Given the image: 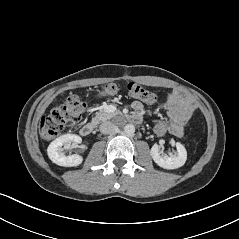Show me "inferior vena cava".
<instances>
[{
  "instance_id": "602c4592",
  "label": "inferior vena cava",
  "mask_w": 239,
  "mask_h": 239,
  "mask_svg": "<svg viewBox=\"0 0 239 239\" xmlns=\"http://www.w3.org/2000/svg\"><path fill=\"white\" fill-rule=\"evenodd\" d=\"M100 131L104 134H113L118 131V127L112 122L107 121L100 125Z\"/></svg>"
}]
</instances>
